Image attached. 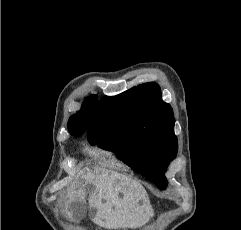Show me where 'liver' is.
Wrapping results in <instances>:
<instances>
[{"instance_id": "liver-1", "label": "liver", "mask_w": 241, "mask_h": 230, "mask_svg": "<svg viewBox=\"0 0 241 230\" xmlns=\"http://www.w3.org/2000/svg\"><path fill=\"white\" fill-rule=\"evenodd\" d=\"M87 174L93 184L88 204L96 224L106 229L135 228L148 221L152 210L141 184L104 168L95 167ZM80 201L84 202V198ZM69 218L72 219L71 214Z\"/></svg>"}]
</instances>
